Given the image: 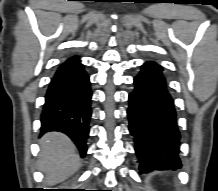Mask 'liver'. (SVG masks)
Here are the masks:
<instances>
[{
    "instance_id": "1",
    "label": "liver",
    "mask_w": 218,
    "mask_h": 191,
    "mask_svg": "<svg viewBox=\"0 0 218 191\" xmlns=\"http://www.w3.org/2000/svg\"><path fill=\"white\" fill-rule=\"evenodd\" d=\"M39 169L45 182L55 185L73 175L80 166V157L73 142L64 134L50 132L40 140Z\"/></svg>"
}]
</instances>
